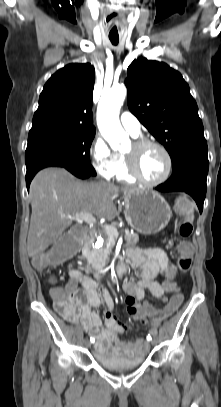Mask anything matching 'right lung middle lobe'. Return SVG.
Masks as SVG:
<instances>
[{
	"mask_svg": "<svg viewBox=\"0 0 221 407\" xmlns=\"http://www.w3.org/2000/svg\"><path fill=\"white\" fill-rule=\"evenodd\" d=\"M95 131L67 127H45L29 132L25 152L26 166L44 158H54L86 173L95 175L89 151Z\"/></svg>",
	"mask_w": 221,
	"mask_h": 407,
	"instance_id": "obj_1",
	"label": "right lung middle lobe"
}]
</instances>
